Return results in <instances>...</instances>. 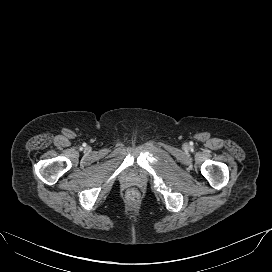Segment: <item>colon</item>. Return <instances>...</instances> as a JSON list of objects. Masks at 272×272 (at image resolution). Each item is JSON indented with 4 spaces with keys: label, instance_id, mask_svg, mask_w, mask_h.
I'll return each instance as SVG.
<instances>
[{
    "label": "colon",
    "instance_id": "colon-1",
    "mask_svg": "<svg viewBox=\"0 0 272 272\" xmlns=\"http://www.w3.org/2000/svg\"><path fill=\"white\" fill-rule=\"evenodd\" d=\"M139 192L136 190V189H130L128 192H127V199L130 200V201H136L139 199Z\"/></svg>",
    "mask_w": 272,
    "mask_h": 272
}]
</instances>
